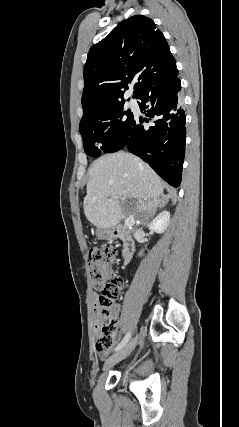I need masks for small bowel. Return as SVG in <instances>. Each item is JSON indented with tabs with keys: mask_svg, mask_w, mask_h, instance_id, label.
Masks as SVG:
<instances>
[{
	"mask_svg": "<svg viewBox=\"0 0 239 427\" xmlns=\"http://www.w3.org/2000/svg\"><path fill=\"white\" fill-rule=\"evenodd\" d=\"M97 299H98V298H97V296L95 295V296H94V300H95V301H97ZM116 311H117V310H116ZM95 329H96V328H95ZM107 354H108V351H107V352H99V356H100V358H101V359L105 358V357L107 356Z\"/></svg>",
	"mask_w": 239,
	"mask_h": 427,
	"instance_id": "c3829d8e",
	"label": "small bowel"
}]
</instances>
